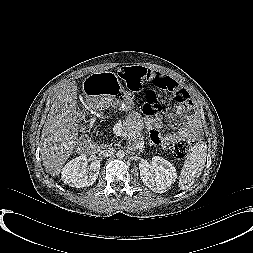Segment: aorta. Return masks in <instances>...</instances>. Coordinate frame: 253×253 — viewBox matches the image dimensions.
<instances>
[{"label": "aorta", "mask_w": 253, "mask_h": 253, "mask_svg": "<svg viewBox=\"0 0 253 253\" xmlns=\"http://www.w3.org/2000/svg\"><path fill=\"white\" fill-rule=\"evenodd\" d=\"M117 154H118L119 157L122 158L125 155V150L124 149H119Z\"/></svg>", "instance_id": "1"}]
</instances>
